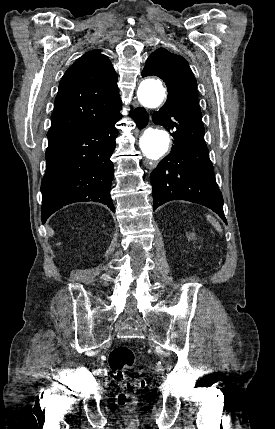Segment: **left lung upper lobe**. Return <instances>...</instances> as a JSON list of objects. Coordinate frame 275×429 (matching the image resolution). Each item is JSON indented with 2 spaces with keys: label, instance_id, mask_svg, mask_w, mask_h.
Here are the masks:
<instances>
[{
  "label": "left lung upper lobe",
  "instance_id": "1",
  "mask_svg": "<svg viewBox=\"0 0 275 429\" xmlns=\"http://www.w3.org/2000/svg\"><path fill=\"white\" fill-rule=\"evenodd\" d=\"M155 75L167 85L166 103L181 104L201 113L197 98L196 79L188 62L164 48L154 51L147 59L142 77Z\"/></svg>",
  "mask_w": 275,
  "mask_h": 429
}]
</instances>
